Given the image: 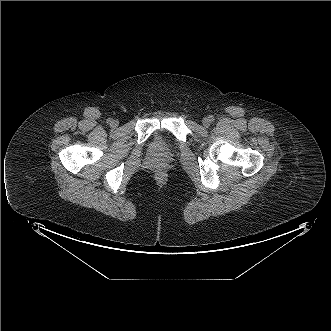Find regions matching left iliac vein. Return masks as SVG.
Masks as SVG:
<instances>
[{"label":"left iliac vein","instance_id":"4c4485c4","mask_svg":"<svg viewBox=\"0 0 331 331\" xmlns=\"http://www.w3.org/2000/svg\"><path fill=\"white\" fill-rule=\"evenodd\" d=\"M202 122L205 127H208L211 123L209 118H204Z\"/></svg>","mask_w":331,"mask_h":331}]
</instances>
